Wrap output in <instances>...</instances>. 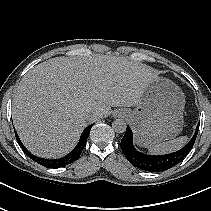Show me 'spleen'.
I'll list each match as a JSON object with an SVG mask.
<instances>
[{
    "instance_id": "3e777b00",
    "label": "spleen",
    "mask_w": 211,
    "mask_h": 211,
    "mask_svg": "<svg viewBox=\"0 0 211 211\" xmlns=\"http://www.w3.org/2000/svg\"><path fill=\"white\" fill-rule=\"evenodd\" d=\"M187 141H188L187 136H181L179 138H176L167 142L151 145L148 147V151L152 154H163V153L174 152L182 148L186 144Z\"/></svg>"
}]
</instances>
